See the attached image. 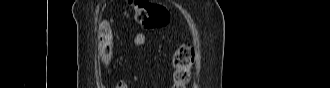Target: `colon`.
I'll use <instances>...</instances> for the list:
<instances>
[{
	"mask_svg": "<svg viewBox=\"0 0 330 88\" xmlns=\"http://www.w3.org/2000/svg\"><path fill=\"white\" fill-rule=\"evenodd\" d=\"M135 21L145 29H157L164 27L168 22L166 11L147 1L135 0L130 5ZM100 53L105 62H108L112 54V41L108 33L101 39ZM195 57L194 49L190 45H181L173 53L171 67L173 70V87L186 88L192 77Z\"/></svg>",
	"mask_w": 330,
	"mask_h": 88,
	"instance_id": "obj_1",
	"label": "colon"
}]
</instances>
